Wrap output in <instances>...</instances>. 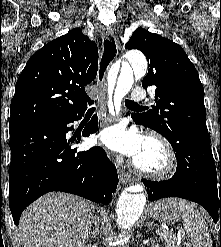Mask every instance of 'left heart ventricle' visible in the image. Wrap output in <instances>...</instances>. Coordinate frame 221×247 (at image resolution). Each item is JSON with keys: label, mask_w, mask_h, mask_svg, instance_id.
Segmentation results:
<instances>
[{"label": "left heart ventricle", "mask_w": 221, "mask_h": 247, "mask_svg": "<svg viewBox=\"0 0 221 247\" xmlns=\"http://www.w3.org/2000/svg\"><path fill=\"white\" fill-rule=\"evenodd\" d=\"M134 160L140 167L147 170H159L166 163L163 150L150 140L145 141L143 148Z\"/></svg>", "instance_id": "left-heart-ventricle-1"}]
</instances>
